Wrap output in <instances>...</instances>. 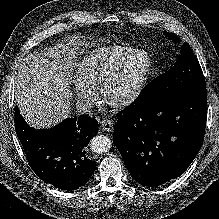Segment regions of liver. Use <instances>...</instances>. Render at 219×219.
<instances>
[{
    "label": "liver",
    "instance_id": "liver-1",
    "mask_svg": "<svg viewBox=\"0 0 219 219\" xmlns=\"http://www.w3.org/2000/svg\"><path fill=\"white\" fill-rule=\"evenodd\" d=\"M60 47L47 54H29L17 69L16 102L21 115L34 128H50L69 114V63Z\"/></svg>",
    "mask_w": 219,
    "mask_h": 219
}]
</instances>
